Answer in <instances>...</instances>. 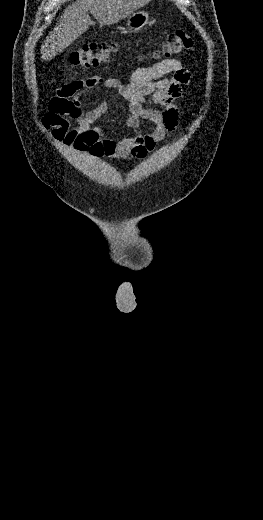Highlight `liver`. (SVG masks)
Listing matches in <instances>:
<instances>
[{
    "label": "liver",
    "instance_id": "6515ba94",
    "mask_svg": "<svg viewBox=\"0 0 263 520\" xmlns=\"http://www.w3.org/2000/svg\"><path fill=\"white\" fill-rule=\"evenodd\" d=\"M151 0H76L68 5L54 31L41 48L42 59L50 61L75 39L87 31L94 22L89 12L102 25H110L128 17Z\"/></svg>",
    "mask_w": 263,
    "mask_h": 520
}]
</instances>
